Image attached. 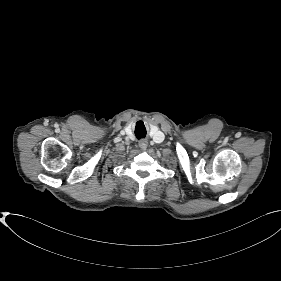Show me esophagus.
Returning <instances> with one entry per match:
<instances>
[{
	"label": "esophagus",
	"mask_w": 281,
	"mask_h": 281,
	"mask_svg": "<svg viewBox=\"0 0 281 281\" xmlns=\"http://www.w3.org/2000/svg\"><path fill=\"white\" fill-rule=\"evenodd\" d=\"M147 145H148V142L146 140L139 141V147L141 149H146Z\"/></svg>",
	"instance_id": "1"
}]
</instances>
